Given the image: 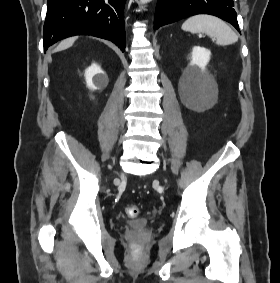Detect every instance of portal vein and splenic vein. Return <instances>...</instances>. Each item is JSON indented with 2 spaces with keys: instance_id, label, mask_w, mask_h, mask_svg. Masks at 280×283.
I'll list each match as a JSON object with an SVG mask.
<instances>
[{
  "instance_id": "1",
  "label": "portal vein and splenic vein",
  "mask_w": 280,
  "mask_h": 283,
  "mask_svg": "<svg viewBox=\"0 0 280 283\" xmlns=\"http://www.w3.org/2000/svg\"><path fill=\"white\" fill-rule=\"evenodd\" d=\"M199 37H202V35H201V34H199Z\"/></svg>"
}]
</instances>
